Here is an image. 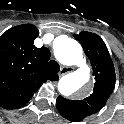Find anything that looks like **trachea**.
Returning <instances> with one entry per match:
<instances>
[{"instance_id":"1","label":"trachea","mask_w":124,"mask_h":124,"mask_svg":"<svg viewBox=\"0 0 124 124\" xmlns=\"http://www.w3.org/2000/svg\"><path fill=\"white\" fill-rule=\"evenodd\" d=\"M48 68L53 71V72H59L60 71V65L58 64V62H56L55 60H51L48 63Z\"/></svg>"}]
</instances>
